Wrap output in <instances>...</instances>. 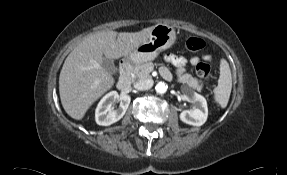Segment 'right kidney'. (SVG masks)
Instances as JSON below:
<instances>
[{
    "label": "right kidney",
    "mask_w": 287,
    "mask_h": 175,
    "mask_svg": "<svg viewBox=\"0 0 287 175\" xmlns=\"http://www.w3.org/2000/svg\"><path fill=\"white\" fill-rule=\"evenodd\" d=\"M117 99H119L117 91H111L100 100L95 111V120L98 125L109 126L125 115L131 98L129 95H123L120 98L119 107L115 110L112 104Z\"/></svg>",
    "instance_id": "right-kidney-1"
}]
</instances>
